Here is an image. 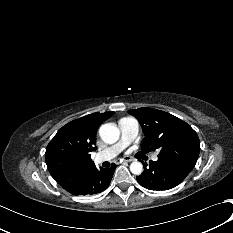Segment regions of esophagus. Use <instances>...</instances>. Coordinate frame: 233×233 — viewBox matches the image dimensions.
Here are the masks:
<instances>
[{
  "label": "esophagus",
  "mask_w": 233,
  "mask_h": 233,
  "mask_svg": "<svg viewBox=\"0 0 233 233\" xmlns=\"http://www.w3.org/2000/svg\"><path fill=\"white\" fill-rule=\"evenodd\" d=\"M133 159L131 157H125L124 159L121 160V162H132Z\"/></svg>",
  "instance_id": "1"
}]
</instances>
